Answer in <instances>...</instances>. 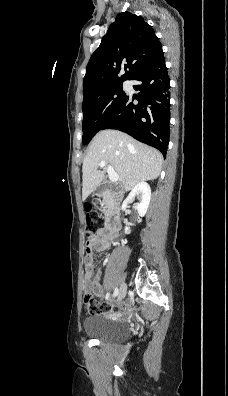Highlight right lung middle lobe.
I'll list each match as a JSON object with an SVG mask.
<instances>
[{
	"label": "right lung middle lobe",
	"instance_id": "right-lung-middle-lobe-1",
	"mask_svg": "<svg viewBox=\"0 0 228 396\" xmlns=\"http://www.w3.org/2000/svg\"><path fill=\"white\" fill-rule=\"evenodd\" d=\"M126 96L122 82L84 95L82 103L84 145L88 144L94 135L102 130L103 124L114 114Z\"/></svg>",
	"mask_w": 228,
	"mask_h": 396
}]
</instances>
